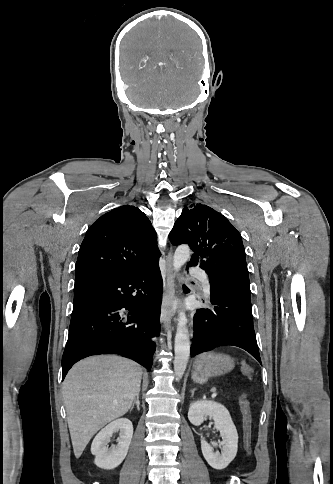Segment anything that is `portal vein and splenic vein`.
<instances>
[{"label":"portal vein and splenic vein","mask_w":333,"mask_h":484,"mask_svg":"<svg viewBox=\"0 0 333 484\" xmlns=\"http://www.w3.org/2000/svg\"><path fill=\"white\" fill-rule=\"evenodd\" d=\"M211 391L213 392V394H212V395H213L214 397H215V396H217V393H216V389H215V388H213Z\"/></svg>","instance_id":"1"}]
</instances>
